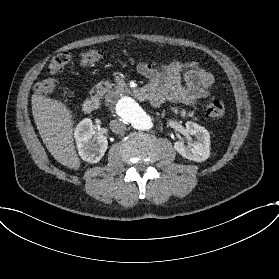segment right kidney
<instances>
[{
    "instance_id": "ca27d5eb",
    "label": "right kidney",
    "mask_w": 279,
    "mask_h": 279,
    "mask_svg": "<svg viewBox=\"0 0 279 279\" xmlns=\"http://www.w3.org/2000/svg\"><path fill=\"white\" fill-rule=\"evenodd\" d=\"M80 157L88 163H98L108 147L106 136L97 135L90 119L81 121L75 129Z\"/></svg>"
}]
</instances>
